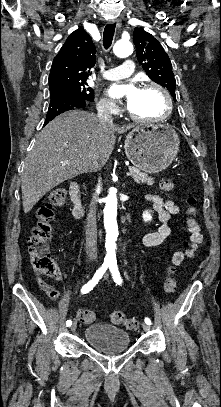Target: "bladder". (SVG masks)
<instances>
[{
    "label": "bladder",
    "instance_id": "bladder-1",
    "mask_svg": "<svg viewBox=\"0 0 221 407\" xmlns=\"http://www.w3.org/2000/svg\"><path fill=\"white\" fill-rule=\"evenodd\" d=\"M86 342L96 350L112 355L128 347L130 334L114 325L93 323L84 331Z\"/></svg>",
    "mask_w": 221,
    "mask_h": 407
}]
</instances>
